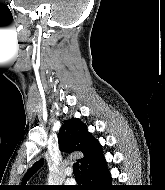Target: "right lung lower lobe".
Instances as JSON below:
<instances>
[{"label": "right lung lower lobe", "mask_w": 165, "mask_h": 190, "mask_svg": "<svg viewBox=\"0 0 165 190\" xmlns=\"http://www.w3.org/2000/svg\"><path fill=\"white\" fill-rule=\"evenodd\" d=\"M83 177L82 190H117L111 185V175L106 168L105 158H100L92 167L81 172Z\"/></svg>", "instance_id": "1"}]
</instances>
